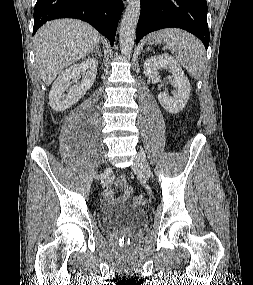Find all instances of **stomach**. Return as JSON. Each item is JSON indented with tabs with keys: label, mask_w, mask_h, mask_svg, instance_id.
<instances>
[{
	"label": "stomach",
	"mask_w": 253,
	"mask_h": 285,
	"mask_svg": "<svg viewBox=\"0 0 253 285\" xmlns=\"http://www.w3.org/2000/svg\"><path fill=\"white\" fill-rule=\"evenodd\" d=\"M161 41H162V39L159 38L157 35H152V37L149 39V43L155 44V45Z\"/></svg>",
	"instance_id": "1"
}]
</instances>
